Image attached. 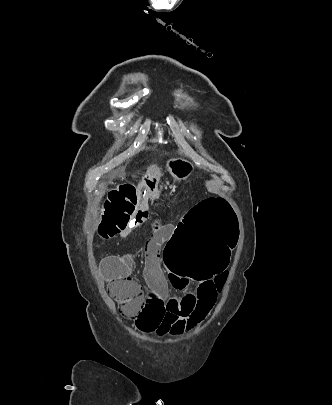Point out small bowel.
<instances>
[{
    "label": "small bowel",
    "instance_id": "small-bowel-1",
    "mask_svg": "<svg viewBox=\"0 0 332 405\" xmlns=\"http://www.w3.org/2000/svg\"><path fill=\"white\" fill-rule=\"evenodd\" d=\"M162 176L157 164H148L141 176L136 198L137 208L132 210L135 219L131 227L122 233L125 237L149 216V203L155 194V184ZM173 227L168 223L158 222L152 227L151 238L145 245L146 265L144 270L146 283L143 286L145 301H141V310L137 311L135 325L144 334L179 336L201 322L212 309L217 293L212 288L213 277L202 281L194 291H188L190 281L185 275H164L160 266V248L171 240ZM133 259L131 255L112 254L100 262L102 273L110 279L127 276L131 272ZM174 288L185 292L182 297H170L169 290Z\"/></svg>",
    "mask_w": 332,
    "mask_h": 405
}]
</instances>
